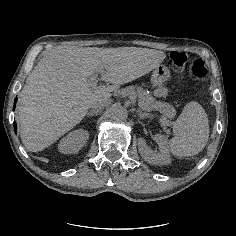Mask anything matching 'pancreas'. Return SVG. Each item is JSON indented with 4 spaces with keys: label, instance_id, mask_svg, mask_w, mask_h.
I'll list each match as a JSON object with an SVG mask.
<instances>
[{
    "label": "pancreas",
    "instance_id": "obj_1",
    "mask_svg": "<svg viewBox=\"0 0 236 236\" xmlns=\"http://www.w3.org/2000/svg\"><path fill=\"white\" fill-rule=\"evenodd\" d=\"M127 96H130L133 93V90L130 87H127L125 89L122 90H118L115 93V96L118 99H121L124 96V93ZM141 98L143 99V107L147 108L148 110H152L153 106L155 105V98L152 97L151 95L149 96V92L148 91H143L141 93Z\"/></svg>",
    "mask_w": 236,
    "mask_h": 236
}]
</instances>
